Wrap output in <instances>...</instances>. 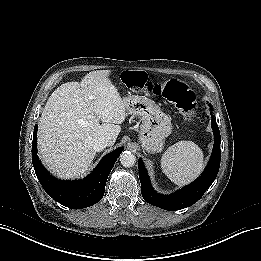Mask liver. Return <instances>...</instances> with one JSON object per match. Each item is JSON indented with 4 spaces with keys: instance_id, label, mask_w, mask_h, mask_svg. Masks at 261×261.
<instances>
[{
    "instance_id": "liver-1",
    "label": "liver",
    "mask_w": 261,
    "mask_h": 261,
    "mask_svg": "<svg viewBox=\"0 0 261 261\" xmlns=\"http://www.w3.org/2000/svg\"><path fill=\"white\" fill-rule=\"evenodd\" d=\"M109 74L89 72L80 83L62 84L47 100L39 121L38 149L54 175L64 179L84 175L96 155L93 141L106 136L109 146L115 143L127 111Z\"/></svg>"
}]
</instances>
